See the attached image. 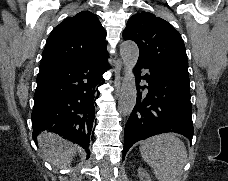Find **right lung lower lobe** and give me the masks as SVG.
Instances as JSON below:
<instances>
[{
    "label": "right lung lower lobe",
    "instance_id": "98d812e1",
    "mask_svg": "<svg viewBox=\"0 0 228 181\" xmlns=\"http://www.w3.org/2000/svg\"><path fill=\"white\" fill-rule=\"evenodd\" d=\"M107 57L89 58L40 71L32 112L33 139L44 130L79 144L87 153L95 118L94 101Z\"/></svg>",
    "mask_w": 228,
    "mask_h": 181
}]
</instances>
